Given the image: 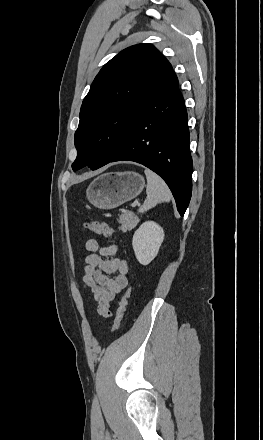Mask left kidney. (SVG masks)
Masks as SVG:
<instances>
[{"label":"left kidney","mask_w":263,"mask_h":440,"mask_svg":"<svg viewBox=\"0 0 263 440\" xmlns=\"http://www.w3.org/2000/svg\"><path fill=\"white\" fill-rule=\"evenodd\" d=\"M164 240L163 229L153 221L144 222L134 233L132 246L140 264L148 265Z\"/></svg>","instance_id":"left-kidney-1"}]
</instances>
